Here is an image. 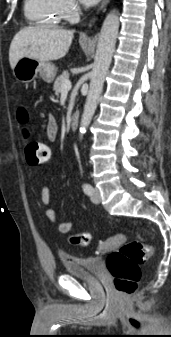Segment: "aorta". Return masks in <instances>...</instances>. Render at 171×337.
<instances>
[{
	"label": "aorta",
	"mask_w": 171,
	"mask_h": 337,
	"mask_svg": "<svg viewBox=\"0 0 171 337\" xmlns=\"http://www.w3.org/2000/svg\"><path fill=\"white\" fill-rule=\"evenodd\" d=\"M119 30L118 12L112 11L105 18L97 45L95 61L91 71L90 87L80 123V138L85 134L97 108L104 81L115 49Z\"/></svg>",
	"instance_id": "obj_1"
}]
</instances>
